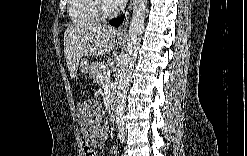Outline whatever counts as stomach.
I'll return each mask as SVG.
<instances>
[{
    "mask_svg": "<svg viewBox=\"0 0 247 156\" xmlns=\"http://www.w3.org/2000/svg\"><path fill=\"white\" fill-rule=\"evenodd\" d=\"M96 63H98V62H96ZM96 63H92L91 65H89V63L86 59H82L80 61V69L84 73L90 72V74H92L94 72V70L96 69V65H95Z\"/></svg>",
    "mask_w": 247,
    "mask_h": 156,
    "instance_id": "obj_1",
    "label": "stomach"
}]
</instances>
